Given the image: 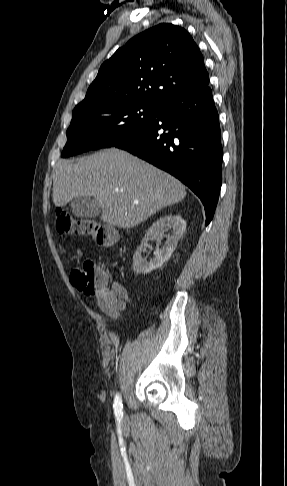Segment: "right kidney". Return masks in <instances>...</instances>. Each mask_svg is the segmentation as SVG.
<instances>
[{
	"mask_svg": "<svg viewBox=\"0 0 287 486\" xmlns=\"http://www.w3.org/2000/svg\"><path fill=\"white\" fill-rule=\"evenodd\" d=\"M172 228V234L166 236L165 245L162 248L157 247L154 251V258L147 262L142 258L141 253L148 245V241L154 237L161 240L166 229ZM186 229V221L180 215H165L160 217L146 232L140 246L133 256V270L138 274H148L151 271L161 267L175 250L178 240L182 237Z\"/></svg>",
	"mask_w": 287,
	"mask_h": 486,
	"instance_id": "right-kidney-1",
	"label": "right kidney"
}]
</instances>
